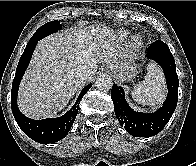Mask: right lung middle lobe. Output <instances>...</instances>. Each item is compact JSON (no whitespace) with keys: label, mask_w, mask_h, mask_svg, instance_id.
<instances>
[{"label":"right lung middle lobe","mask_w":196,"mask_h":166,"mask_svg":"<svg viewBox=\"0 0 196 166\" xmlns=\"http://www.w3.org/2000/svg\"><path fill=\"white\" fill-rule=\"evenodd\" d=\"M61 28L60 22L58 20L51 21L46 23L45 25H42L31 37L28 43H32L35 41H39L43 39L44 37L48 36L51 33L56 32Z\"/></svg>","instance_id":"dd1d6c3e"}]
</instances>
